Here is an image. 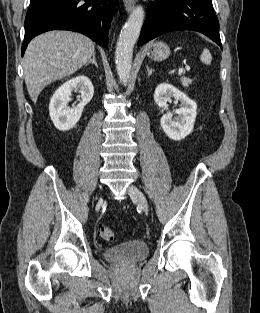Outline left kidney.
<instances>
[{
    "mask_svg": "<svg viewBox=\"0 0 260 313\" xmlns=\"http://www.w3.org/2000/svg\"><path fill=\"white\" fill-rule=\"evenodd\" d=\"M172 98L179 101L181 107L175 110L176 116L174 117L171 112L165 113L160 120V124L170 139L178 141L184 139L193 131L197 115V104L170 84L162 83L155 89L154 100L163 110H168L167 103L171 102Z\"/></svg>",
    "mask_w": 260,
    "mask_h": 313,
    "instance_id": "obj_1",
    "label": "left kidney"
}]
</instances>
